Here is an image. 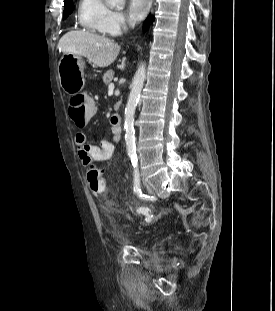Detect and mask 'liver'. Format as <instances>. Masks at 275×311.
I'll return each mask as SVG.
<instances>
[{"mask_svg": "<svg viewBox=\"0 0 275 311\" xmlns=\"http://www.w3.org/2000/svg\"><path fill=\"white\" fill-rule=\"evenodd\" d=\"M59 48L64 54L86 57L97 67L104 68L115 61L121 47L103 35L89 31H70L60 39Z\"/></svg>", "mask_w": 275, "mask_h": 311, "instance_id": "6515ba94", "label": "liver"}]
</instances>
